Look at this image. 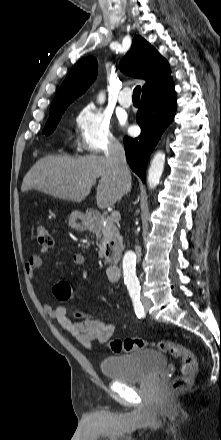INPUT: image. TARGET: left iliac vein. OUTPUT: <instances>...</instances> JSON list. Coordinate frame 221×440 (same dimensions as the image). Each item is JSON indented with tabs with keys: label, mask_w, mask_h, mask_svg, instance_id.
<instances>
[{
	"label": "left iliac vein",
	"mask_w": 221,
	"mask_h": 440,
	"mask_svg": "<svg viewBox=\"0 0 221 440\" xmlns=\"http://www.w3.org/2000/svg\"><path fill=\"white\" fill-rule=\"evenodd\" d=\"M144 308H145V311L148 312V309H149V301L148 300H144Z\"/></svg>",
	"instance_id": "left-iliac-vein-1"
}]
</instances>
